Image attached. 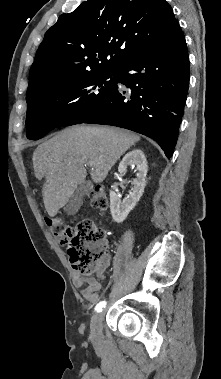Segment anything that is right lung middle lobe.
<instances>
[{"label":"right lung middle lobe","mask_w":221,"mask_h":379,"mask_svg":"<svg viewBox=\"0 0 221 379\" xmlns=\"http://www.w3.org/2000/svg\"><path fill=\"white\" fill-rule=\"evenodd\" d=\"M117 69L81 75L49 86L27 102V138L38 140L56 127L87 117L109 97Z\"/></svg>","instance_id":"right-lung-middle-lobe-1"}]
</instances>
